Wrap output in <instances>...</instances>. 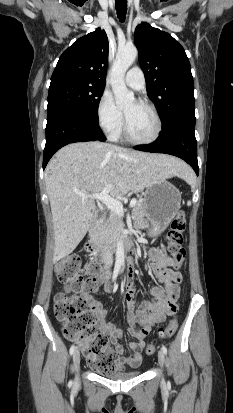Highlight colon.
<instances>
[{"instance_id": "1", "label": "colon", "mask_w": 233, "mask_h": 413, "mask_svg": "<svg viewBox=\"0 0 233 413\" xmlns=\"http://www.w3.org/2000/svg\"><path fill=\"white\" fill-rule=\"evenodd\" d=\"M185 226V215L179 212L172 220L167 233V250L173 258L174 273H178L185 258V249L182 246ZM55 271L59 282L65 285L68 291L73 292H60L54 299L55 315L61 324L63 334L81 343L85 356L95 370L103 374L113 373L117 368L116 355L110 349L107 337L97 333L94 314L84 296L79 295L94 289L101 271L100 265L95 261L83 262L79 256L70 255L57 263ZM170 309L175 313L178 305ZM177 328V319L173 318L165 328L160 329L159 337L170 338ZM154 350L155 346L151 343L145 348L147 354H152Z\"/></svg>"}]
</instances>
